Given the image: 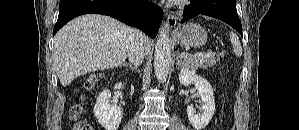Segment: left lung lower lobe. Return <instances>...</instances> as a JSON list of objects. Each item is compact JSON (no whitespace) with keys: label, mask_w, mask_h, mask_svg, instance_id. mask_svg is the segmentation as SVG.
Returning <instances> with one entry per match:
<instances>
[{"label":"left lung lower lobe","mask_w":299,"mask_h":130,"mask_svg":"<svg viewBox=\"0 0 299 130\" xmlns=\"http://www.w3.org/2000/svg\"><path fill=\"white\" fill-rule=\"evenodd\" d=\"M191 6L184 8L182 23L199 14L222 20L242 35V25L236 12L235 0H191Z\"/></svg>","instance_id":"0a47b994"}]
</instances>
